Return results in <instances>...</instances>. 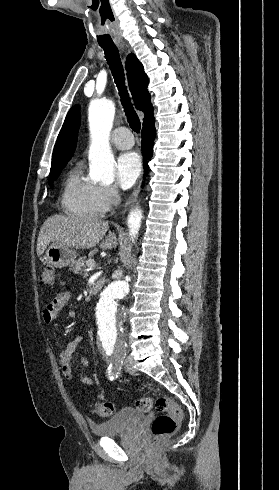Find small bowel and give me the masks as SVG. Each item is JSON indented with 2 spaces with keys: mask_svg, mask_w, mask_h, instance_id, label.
Instances as JSON below:
<instances>
[{
  "mask_svg": "<svg viewBox=\"0 0 279 490\" xmlns=\"http://www.w3.org/2000/svg\"><path fill=\"white\" fill-rule=\"evenodd\" d=\"M70 299L71 293L69 291L58 292L44 308L42 313L43 321L46 323L53 321L57 314L69 304ZM84 339L83 335H77L71 342H69L67 347L61 351L59 360L65 378L73 379L78 377L85 384L93 385L94 380L81 376L79 373H76L73 368V354L77 348L83 344Z\"/></svg>",
  "mask_w": 279,
  "mask_h": 490,
  "instance_id": "1",
  "label": "small bowel"
}]
</instances>
